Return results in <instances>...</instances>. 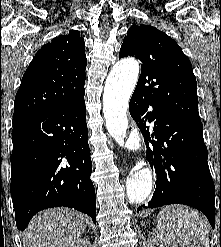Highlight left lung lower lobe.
Wrapping results in <instances>:
<instances>
[{
    "mask_svg": "<svg viewBox=\"0 0 221 247\" xmlns=\"http://www.w3.org/2000/svg\"><path fill=\"white\" fill-rule=\"evenodd\" d=\"M133 93L129 111L146 141L149 163L157 174L156 189L148 208L184 204L201 210L215 227V188L209 170L208 152L201 121L184 119L153 107ZM154 122L150 141L146 121ZM145 206V205H144ZM142 207H139V211Z\"/></svg>",
    "mask_w": 221,
    "mask_h": 247,
    "instance_id": "obj_1",
    "label": "left lung lower lobe"
}]
</instances>
